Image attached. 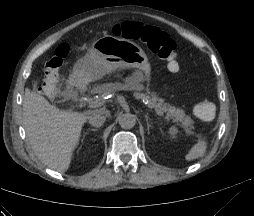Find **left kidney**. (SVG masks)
Listing matches in <instances>:
<instances>
[{"instance_id": "left-kidney-1", "label": "left kidney", "mask_w": 254, "mask_h": 216, "mask_svg": "<svg viewBox=\"0 0 254 216\" xmlns=\"http://www.w3.org/2000/svg\"><path fill=\"white\" fill-rule=\"evenodd\" d=\"M177 132H178V130H177V128L176 127H171L170 128V130H169V133L171 134V135H175V134H177Z\"/></svg>"}]
</instances>
